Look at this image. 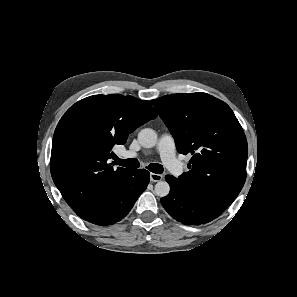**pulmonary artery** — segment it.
<instances>
[{
	"instance_id": "obj_1",
	"label": "pulmonary artery",
	"mask_w": 297,
	"mask_h": 297,
	"mask_svg": "<svg viewBox=\"0 0 297 297\" xmlns=\"http://www.w3.org/2000/svg\"><path fill=\"white\" fill-rule=\"evenodd\" d=\"M158 152L166 167L176 176L183 173V167L175 156V141L170 134H163L158 142ZM126 157H137L136 153L127 152Z\"/></svg>"
}]
</instances>
